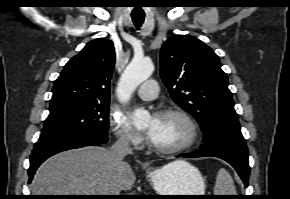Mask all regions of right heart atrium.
<instances>
[{
	"label": "right heart atrium",
	"mask_w": 290,
	"mask_h": 199,
	"mask_svg": "<svg viewBox=\"0 0 290 199\" xmlns=\"http://www.w3.org/2000/svg\"><path fill=\"white\" fill-rule=\"evenodd\" d=\"M109 124L116 139L129 147L138 148L143 143V137L131 126L125 116L110 113Z\"/></svg>",
	"instance_id": "right-heart-atrium-1"
}]
</instances>
